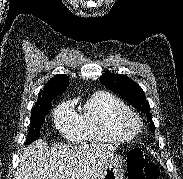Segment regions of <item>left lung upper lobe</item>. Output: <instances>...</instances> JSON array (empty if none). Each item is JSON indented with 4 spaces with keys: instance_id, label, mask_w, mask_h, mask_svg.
Listing matches in <instances>:
<instances>
[{
    "instance_id": "obj_1",
    "label": "left lung upper lobe",
    "mask_w": 183,
    "mask_h": 179,
    "mask_svg": "<svg viewBox=\"0 0 183 179\" xmlns=\"http://www.w3.org/2000/svg\"><path fill=\"white\" fill-rule=\"evenodd\" d=\"M104 86L113 90L123 97L128 103L132 104L137 110L146 113L147 118L151 121L152 131L154 123L151 120L150 106L145 98L144 91L141 87L126 75L115 73H105L100 77Z\"/></svg>"
}]
</instances>
